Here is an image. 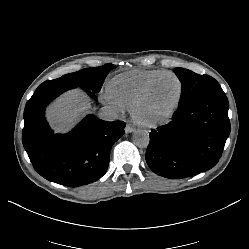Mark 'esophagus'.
Returning <instances> with one entry per match:
<instances>
[{"instance_id":"esophagus-1","label":"esophagus","mask_w":249,"mask_h":249,"mask_svg":"<svg viewBox=\"0 0 249 249\" xmlns=\"http://www.w3.org/2000/svg\"><path fill=\"white\" fill-rule=\"evenodd\" d=\"M136 129H135V127L132 125V124H130V123H128L127 125H126V127H125V132L126 133H132V132H134Z\"/></svg>"}]
</instances>
